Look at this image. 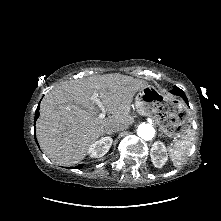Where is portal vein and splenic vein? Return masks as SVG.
Returning <instances> with one entry per match:
<instances>
[{"label": "portal vein and splenic vein", "instance_id": "18ae733b", "mask_svg": "<svg viewBox=\"0 0 221 221\" xmlns=\"http://www.w3.org/2000/svg\"><path fill=\"white\" fill-rule=\"evenodd\" d=\"M91 100H92L93 103H96L98 105V107L100 108V110H101V113L99 114V117L104 118L106 111H105V108L103 106L102 101L98 98V93L97 92L93 93V95L91 96Z\"/></svg>", "mask_w": 221, "mask_h": 221}]
</instances>
